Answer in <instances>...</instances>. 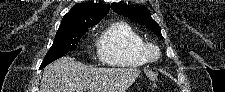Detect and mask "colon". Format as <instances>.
Returning <instances> with one entry per match:
<instances>
[{
    "label": "colon",
    "mask_w": 225,
    "mask_h": 92,
    "mask_svg": "<svg viewBox=\"0 0 225 92\" xmlns=\"http://www.w3.org/2000/svg\"><path fill=\"white\" fill-rule=\"evenodd\" d=\"M149 77H150L151 79H154V77H153V76H151V75H150Z\"/></svg>",
    "instance_id": "5ec220e1"
}]
</instances>
